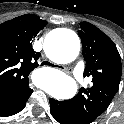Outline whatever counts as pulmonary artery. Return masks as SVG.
Listing matches in <instances>:
<instances>
[{"label": "pulmonary artery", "instance_id": "pulmonary-artery-1", "mask_svg": "<svg viewBox=\"0 0 124 124\" xmlns=\"http://www.w3.org/2000/svg\"><path fill=\"white\" fill-rule=\"evenodd\" d=\"M74 76L80 86L84 84V66L82 64L76 65L74 68Z\"/></svg>", "mask_w": 124, "mask_h": 124}]
</instances>
